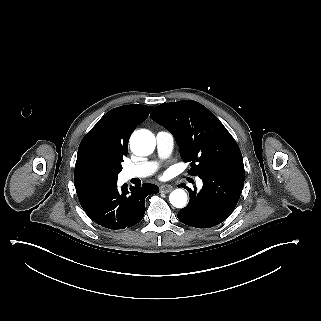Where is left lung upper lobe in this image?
I'll list each match as a JSON object with an SVG mask.
<instances>
[{
  "instance_id": "left-lung-upper-lobe-1",
  "label": "left lung upper lobe",
  "mask_w": 321,
  "mask_h": 321,
  "mask_svg": "<svg viewBox=\"0 0 321 321\" xmlns=\"http://www.w3.org/2000/svg\"><path fill=\"white\" fill-rule=\"evenodd\" d=\"M151 117L173 134L183 161L191 163V175L221 163L243 161L239 146L228 130L196 101L159 105Z\"/></svg>"
}]
</instances>
